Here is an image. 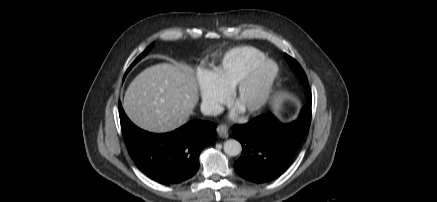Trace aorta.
I'll list each match as a JSON object with an SVG mask.
<instances>
[{
	"label": "aorta",
	"instance_id": "1",
	"mask_svg": "<svg viewBox=\"0 0 437 202\" xmlns=\"http://www.w3.org/2000/svg\"><path fill=\"white\" fill-rule=\"evenodd\" d=\"M224 152L229 156H237L241 150V144L235 139H229L224 142Z\"/></svg>",
	"mask_w": 437,
	"mask_h": 202
}]
</instances>
